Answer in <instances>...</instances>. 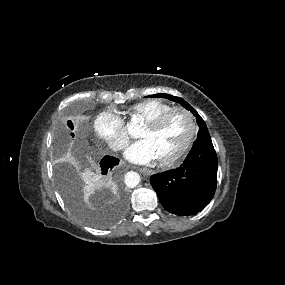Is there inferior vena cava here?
Returning a JSON list of instances; mask_svg holds the SVG:
<instances>
[{
  "mask_svg": "<svg viewBox=\"0 0 285 285\" xmlns=\"http://www.w3.org/2000/svg\"><path fill=\"white\" fill-rule=\"evenodd\" d=\"M121 148H122L121 145H116V146L114 147V150L121 149Z\"/></svg>",
  "mask_w": 285,
  "mask_h": 285,
  "instance_id": "1",
  "label": "inferior vena cava"
}]
</instances>
